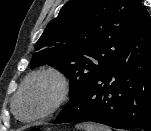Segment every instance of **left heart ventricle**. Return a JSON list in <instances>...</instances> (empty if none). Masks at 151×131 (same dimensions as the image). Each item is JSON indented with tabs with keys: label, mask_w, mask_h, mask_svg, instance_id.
Instances as JSON below:
<instances>
[{
	"label": "left heart ventricle",
	"mask_w": 151,
	"mask_h": 131,
	"mask_svg": "<svg viewBox=\"0 0 151 131\" xmlns=\"http://www.w3.org/2000/svg\"><path fill=\"white\" fill-rule=\"evenodd\" d=\"M56 94L51 80H38L25 91L19 101V112L27 117L34 115L50 104Z\"/></svg>",
	"instance_id": "1"
}]
</instances>
